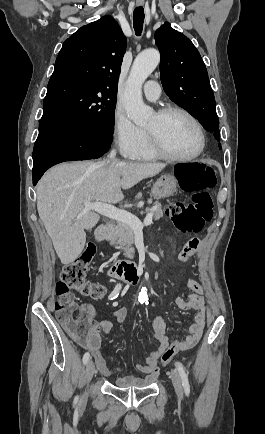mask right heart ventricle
Masks as SVG:
<instances>
[{"label":"right heart ventricle","mask_w":265,"mask_h":434,"mask_svg":"<svg viewBox=\"0 0 265 434\" xmlns=\"http://www.w3.org/2000/svg\"><path fill=\"white\" fill-rule=\"evenodd\" d=\"M145 141L142 147L138 149L137 154H133L132 160L137 161H154L158 160L160 157L154 151L149 134L147 130L144 129Z\"/></svg>","instance_id":"e07e8e85"}]
</instances>
